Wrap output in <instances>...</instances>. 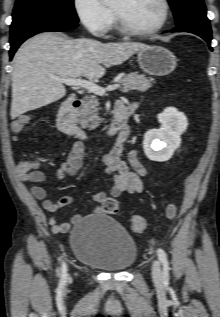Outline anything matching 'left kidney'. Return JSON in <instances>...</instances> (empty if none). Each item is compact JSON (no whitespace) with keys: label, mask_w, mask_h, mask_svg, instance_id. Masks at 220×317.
<instances>
[{"label":"left kidney","mask_w":220,"mask_h":317,"mask_svg":"<svg viewBox=\"0 0 220 317\" xmlns=\"http://www.w3.org/2000/svg\"><path fill=\"white\" fill-rule=\"evenodd\" d=\"M157 118L161 127L145 133L143 148L150 160L163 162L169 160L179 147L180 135L187 127V120L175 108H166Z\"/></svg>","instance_id":"left-kidney-1"}]
</instances>
